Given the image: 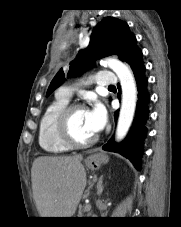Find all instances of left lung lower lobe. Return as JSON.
I'll return each mask as SVG.
<instances>
[{"instance_id":"0a47b994","label":"left lung lower lobe","mask_w":181,"mask_h":227,"mask_svg":"<svg viewBox=\"0 0 181 227\" xmlns=\"http://www.w3.org/2000/svg\"><path fill=\"white\" fill-rule=\"evenodd\" d=\"M125 62L130 65L133 71L138 90V101L133 127L122 143L116 144L114 139L111 138L102 149L122 154L131 160L139 170L141 168V155L143 154V137L147 132L146 121L149 115L150 98L147 89L145 66L142 60V51L137 45L130 50ZM117 115L118 111L115 112V118H117Z\"/></svg>"}]
</instances>
